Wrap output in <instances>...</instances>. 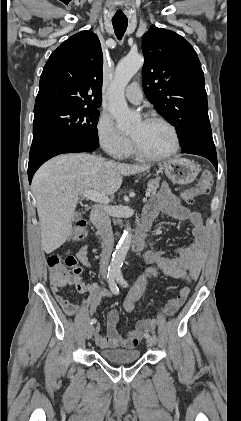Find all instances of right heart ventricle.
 Segmentation results:
<instances>
[{
  "instance_id": "obj_1",
  "label": "right heart ventricle",
  "mask_w": 241,
  "mask_h": 421,
  "mask_svg": "<svg viewBox=\"0 0 241 421\" xmlns=\"http://www.w3.org/2000/svg\"><path fill=\"white\" fill-rule=\"evenodd\" d=\"M132 154H133V152H132L131 146L129 145V147H128V149L126 150V152H125L124 156H129V155H132Z\"/></svg>"
}]
</instances>
